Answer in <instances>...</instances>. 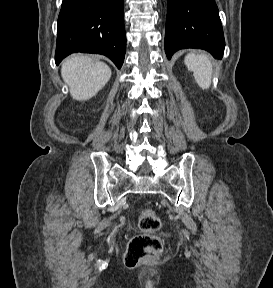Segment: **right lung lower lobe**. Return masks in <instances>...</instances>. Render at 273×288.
Masks as SVG:
<instances>
[{"label": "right lung lower lobe", "mask_w": 273, "mask_h": 288, "mask_svg": "<svg viewBox=\"0 0 273 288\" xmlns=\"http://www.w3.org/2000/svg\"><path fill=\"white\" fill-rule=\"evenodd\" d=\"M124 0H63L55 62L71 53L107 56L121 68L126 51Z\"/></svg>", "instance_id": "right-lung-lower-lobe-1"}]
</instances>
